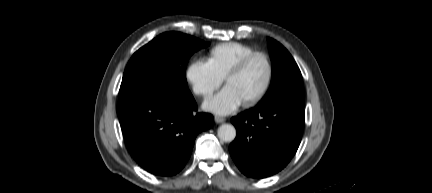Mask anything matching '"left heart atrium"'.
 <instances>
[{"label": "left heart atrium", "instance_id": "39dd6f15", "mask_svg": "<svg viewBox=\"0 0 432 193\" xmlns=\"http://www.w3.org/2000/svg\"><path fill=\"white\" fill-rule=\"evenodd\" d=\"M240 103L241 99L237 93L230 87H226L218 96L206 103V108L218 114H226L235 110Z\"/></svg>", "mask_w": 432, "mask_h": 193}]
</instances>
